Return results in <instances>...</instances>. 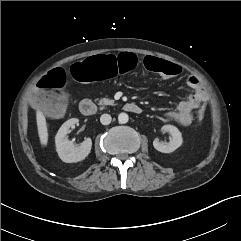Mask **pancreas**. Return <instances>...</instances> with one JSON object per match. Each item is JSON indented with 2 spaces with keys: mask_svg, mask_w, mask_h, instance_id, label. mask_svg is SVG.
<instances>
[{
  "mask_svg": "<svg viewBox=\"0 0 241 241\" xmlns=\"http://www.w3.org/2000/svg\"><path fill=\"white\" fill-rule=\"evenodd\" d=\"M98 104L101 105L103 108L104 106H107V105H115V101L108 98H101L98 100Z\"/></svg>",
  "mask_w": 241,
  "mask_h": 241,
  "instance_id": "1",
  "label": "pancreas"
}]
</instances>
